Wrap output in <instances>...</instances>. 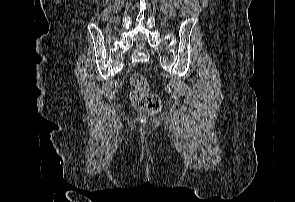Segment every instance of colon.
<instances>
[{
    "label": "colon",
    "instance_id": "obj_1",
    "mask_svg": "<svg viewBox=\"0 0 295 202\" xmlns=\"http://www.w3.org/2000/svg\"><path fill=\"white\" fill-rule=\"evenodd\" d=\"M133 90L131 100L133 105L142 111L156 112L160 108V98L149 93V85L144 75L133 73L130 77Z\"/></svg>",
    "mask_w": 295,
    "mask_h": 202
}]
</instances>
